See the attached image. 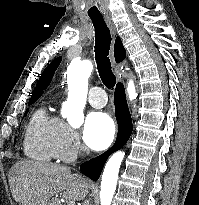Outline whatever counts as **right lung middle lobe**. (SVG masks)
Returning <instances> with one entry per match:
<instances>
[{
	"instance_id": "dd1d6c3e",
	"label": "right lung middle lobe",
	"mask_w": 199,
	"mask_h": 205,
	"mask_svg": "<svg viewBox=\"0 0 199 205\" xmlns=\"http://www.w3.org/2000/svg\"><path fill=\"white\" fill-rule=\"evenodd\" d=\"M35 101H36V100H31V101H29L28 105L33 104ZM27 111H28V110H27ZM27 111H26L25 115L27 114Z\"/></svg>"
}]
</instances>
